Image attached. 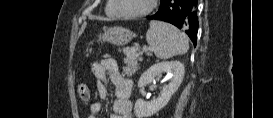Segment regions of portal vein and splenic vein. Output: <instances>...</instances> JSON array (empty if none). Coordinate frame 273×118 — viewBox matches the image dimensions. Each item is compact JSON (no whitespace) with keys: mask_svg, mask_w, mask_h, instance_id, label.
Masks as SVG:
<instances>
[{"mask_svg":"<svg viewBox=\"0 0 273 118\" xmlns=\"http://www.w3.org/2000/svg\"><path fill=\"white\" fill-rule=\"evenodd\" d=\"M150 50H151L150 48H146V47L143 48V51H144V52H147V51H150Z\"/></svg>","mask_w":273,"mask_h":118,"instance_id":"18ae733b","label":"portal vein and splenic vein"}]
</instances>
